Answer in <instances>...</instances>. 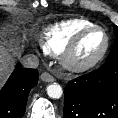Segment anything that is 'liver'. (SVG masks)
Masks as SVG:
<instances>
[{
  "label": "liver",
  "mask_w": 118,
  "mask_h": 118,
  "mask_svg": "<svg viewBox=\"0 0 118 118\" xmlns=\"http://www.w3.org/2000/svg\"><path fill=\"white\" fill-rule=\"evenodd\" d=\"M14 55L19 56V52L15 49H9L0 43V87L4 84L14 69Z\"/></svg>",
  "instance_id": "6515ba94"
}]
</instances>
